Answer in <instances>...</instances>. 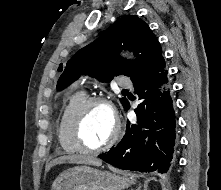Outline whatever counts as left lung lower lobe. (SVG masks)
Returning a JSON list of instances; mask_svg holds the SVG:
<instances>
[{
	"label": "left lung lower lobe",
	"mask_w": 221,
	"mask_h": 190,
	"mask_svg": "<svg viewBox=\"0 0 221 190\" xmlns=\"http://www.w3.org/2000/svg\"><path fill=\"white\" fill-rule=\"evenodd\" d=\"M133 85L143 100L135 109L137 122L128 121L121 142L98 157L120 169L167 173L175 163L177 137L163 56L145 75L133 81ZM125 109H129V103Z\"/></svg>",
	"instance_id": "left-lung-lower-lobe-1"
}]
</instances>
